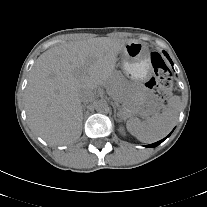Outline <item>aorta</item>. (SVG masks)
I'll return each mask as SVG.
<instances>
[{
    "instance_id": "obj_1",
    "label": "aorta",
    "mask_w": 207,
    "mask_h": 207,
    "mask_svg": "<svg viewBox=\"0 0 207 207\" xmlns=\"http://www.w3.org/2000/svg\"><path fill=\"white\" fill-rule=\"evenodd\" d=\"M95 109L99 113H107L109 111V106L106 101H98L96 103Z\"/></svg>"
}]
</instances>
